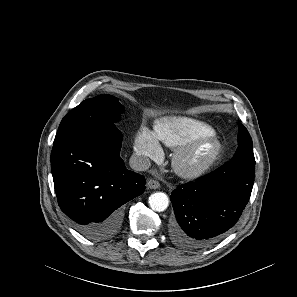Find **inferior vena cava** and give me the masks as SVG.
Here are the masks:
<instances>
[{
	"instance_id": "1",
	"label": "inferior vena cava",
	"mask_w": 297,
	"mask_h": 297,
	"mask_svg": "<svg viewBox=\"0 0 297 297\" xmlns=\"http://www.w3.org/2000/svg\"><path fill=\"white\" fill-rule=\"evenodd\" d=\"M129 165L135 171H146L151 166V162L146 156L133 154L129 159Z\"/></svg>"
}]
</instances>
